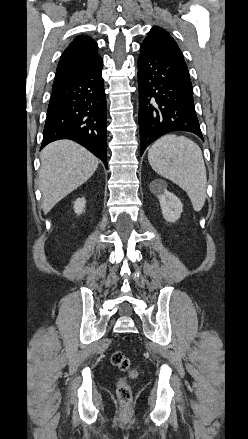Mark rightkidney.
Masks as SVG:
<instances>
[{"label": "right kidney", "instance_id": "ca27d5eb", "mask_svg": "<svg viewBox=\"0 0 248 439\" xmlns=\"http://www.w3.org/2000/svg\"><path fill=\"white\" fill-rule=\"evenodd\" d=\"M85 204H86V200L84 197L77 198L74 201V206H73L75 213H77L78 215L82 214V212H84L85 210Z\"/></svg>", "mask_w": 248, "mask_h": 439}]
</instances>
